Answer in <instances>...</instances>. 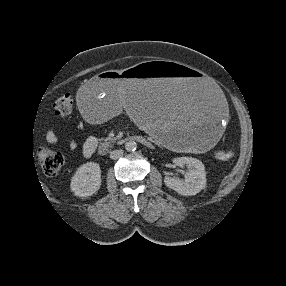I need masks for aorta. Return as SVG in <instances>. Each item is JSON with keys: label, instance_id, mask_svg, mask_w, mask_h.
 Instances as JSON below:
<instances>
[{"label": "aorta", "instance_id": "762f6f07", "mask_svg": "<svg viewBox=\"0 0 286 286\" xmlns=\"http://www.w3.org/2000/svg\"><path fill=\"white\" fill-rule=\"evenodd\" d=\"M136 147H137V145L134 141H128L125 143V149L128 152L135 151Z\"/></svg>", "mask_w": 286, "mask_h": 286}]
</instances>
